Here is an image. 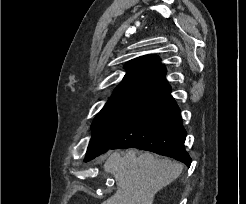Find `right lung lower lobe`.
Masks as SVG:
<instances>
[{"instance_id":"98d812e1","label":"right lung lower lobe","mask_w":246,"mask_h":204,"mask_svg":"<svg viewBox=\"0 0 246 204\" xmlns=\"http://www.w3.org/2000/svg\"><path fill=\"white\" fill-rule=\"evenodd\" d=\"M168 84L136 100L128 109L110 149L138 148L174 158L187 166L186 131ZM95 157L85 158L90 161Z\"/></svg>"}]
</instances>
